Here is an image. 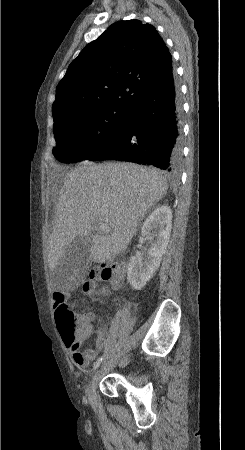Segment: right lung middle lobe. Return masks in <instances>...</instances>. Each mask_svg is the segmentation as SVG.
Wrapping results in <instances>:
<instances>
[{
  "instance_id": "obj_1",
  "label": "right lung middle lobe",
  "mask_w": 245,
  "mask_h": 450,
  "mask_svg": "<svg viewBox=\"0 0 245 450\" xmlns=\"http://www.w3.org/2000/svg\"><path fill=\"white\" fill-rule=\"evenodd\" d=\"M130 106L107 105L77 112L53 113L57 146L53 155L63 163H75L101 152L123 132Z\"/></svg>"
}]
</instances>
